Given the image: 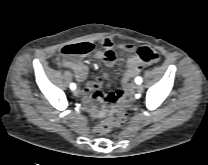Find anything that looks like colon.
I'll list each match as a JSON object with an SVG mask.
<instances>
[{
    "label": "colon",
    "instance_id": "5ec220e1",
    "mask_svg": "<svg viewBox=\"0 0 208 165\" xmlns=\"http://www.w3.org/2000/svg\"><path fill=\"white\" fill-rule=\"evenodd\" d=\"M92 51V47L85 43H74L64 46L60 50L61 59H72L89 54ZM160 55L148 48L141 47L137 51V56L133 55L129 59L128 65L124 69L126 76L131 77L135 72L139 71L143 64H154L159 62ZM121 100L128 93V89L123 87L121 90ZM127 114L123 108L117 111L116 115L112 119H107L101 122L94 130L95 134L98 136L104 135L109 132L112 128L122 126L126 122Z\"/></svg>",
    "mask_w": 208,
    "mask_h": 165
}]
</instances>
